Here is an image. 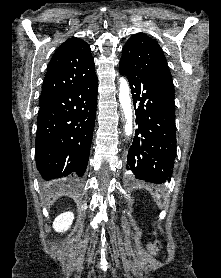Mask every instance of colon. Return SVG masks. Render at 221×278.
<instances>
[{"instance_id": "colon-1", "label": "colon", "mask_w": 221, "mask_h": 278, "mask_svg": "<svg viewBox=\"0 0 221 278\" xmlns=\"http://www.w3.org/2000/svg\"><path fill=\"white\" fill-rule=\"evenodd\" d=\"M154 247H155L156 249H159V248H160V243H159V242H155V243H154Z\"/></svg>"}]
</instances>
